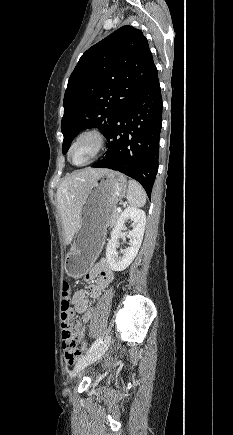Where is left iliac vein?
I'll use <instances>...</instances> for the list:
<instances>
[{"label": "left iliac vein", "instance_id": "obj_1", "mask_svg": "<svg viewBox=\"0 0 233 435\" xmlns=\"http://www.w3.org/2000/svg\"><path fill=\"white\" fill-rule=\"evenodd\" d=\"M110 336H108L94 351L91 353L81 357L76 365L74 370L72 371V376H75L77 373H79L81 370H83L88 365L92 364L93 362L97 361L107 350L108 344H109Z\"/></svg>", "mask_w": 233, "mask_h": 435}]
</instances>
